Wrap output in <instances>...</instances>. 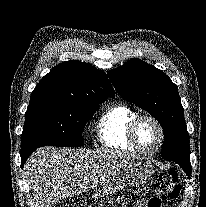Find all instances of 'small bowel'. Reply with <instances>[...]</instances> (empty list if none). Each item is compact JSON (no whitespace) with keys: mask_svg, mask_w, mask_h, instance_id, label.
<instances>
[{"mask_svg":"<svg viewBox=\"0 0 206 207\" xmlns=\"http://www.w3.org/2000/svg\"><path fill=\"white\" fill-rule=\"evenodd\" d=\"M135 207H146L144 201L137 202Z\"/></svg>","mask_w":206,"mask_h":207,"instance_id":"small-bowel-1","label":"small bowel"}]
</instances>
